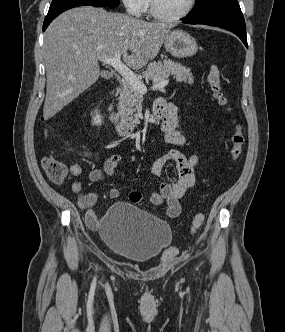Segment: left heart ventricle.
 <instances>
[{
    "label": "left heart ventricle",
    "mask_w": 285,
    "mask_h": 332,
    "mask_svg": "<svg viewBox=\"0 0 285 332\" xmlns=\"http://www.w3.org/2000/svg\"><path fill=\"white\" fill-rule=\"evenodd\" d=\"M158 10L165 15L174 16L183 12L190 0H155Z\"/></svg>",
    "instance_id": "b2bd125f"
}]
</instances>
